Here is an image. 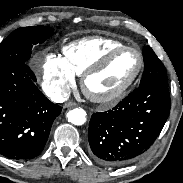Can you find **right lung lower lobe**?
<instances>
[{
  "instance_id": "right-lung-lower-lobe-1",
  "label": "right lung lower lobe",
  "mask_w": 183,
  "mask_h": 183,
  "mask_svg": "<svg viewBox=\"0 0 183 183\" xmlns=\"http://www.w3.org/2000/svg\"><path fill=\"white\" fill-rule=\"evenodd\" d=\"M26 63L0 67V154L31 159L43 150L62 107L49 101L35 85Z\"/></svg>"
}]
</instances>
